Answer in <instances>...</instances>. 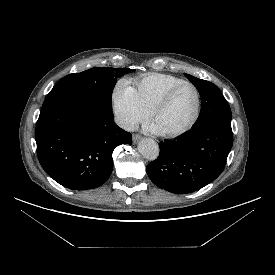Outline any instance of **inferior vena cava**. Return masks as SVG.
Instances as JSON below:
<instances>
[{"label":"inferior vena cava","mask_w":275,"mask_h":275,"mask_svg":"<svg viewBox=\"0 0 275 275\" xmlns=\"http://www.w3.org/2000/svg\"><path fill=\"white\" fill-rule=\"evenodd\" d=\"M115 123L118 126H120L122 129L127 130V131H134V129H135L134 122L127 117L118 115L115 117Z\"/></svg>","instance_id":"602c4592"}]
</instances>
